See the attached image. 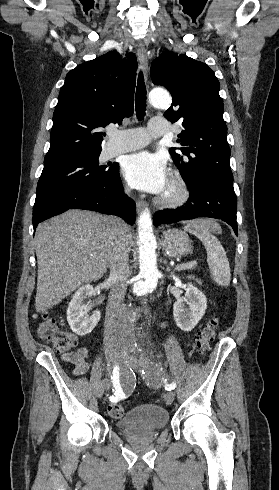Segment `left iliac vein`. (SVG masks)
<instances>
[{
	"instance_id": "left-iliac-vein-1",
	"label": "left iliac vein",
	"mask_w": 279,
	"mask_h": 490,
	"mask_svg": "<svg viewBox=\"0 0 279 490\" xmlns=\"http://www.w3.org/2000/svg\"><path fill=\"white\" fill-rule=\"evenodd\" d=\"M139 360H142L143 359V356L142 355H139L137 357ZM143 364L147 365V367H151V368H155L156 370H159L160 369V365H158L157 363L153 362L152 360L150 361L149 359H143ZM174 392H168L165 394V400H166V404L167 405H171L174 401Z\"/></svg>"
}]
</instances>
